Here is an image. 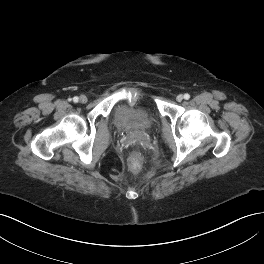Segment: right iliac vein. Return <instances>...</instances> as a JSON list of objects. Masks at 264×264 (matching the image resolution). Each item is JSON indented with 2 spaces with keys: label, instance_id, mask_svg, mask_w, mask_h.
I'll list each match as a JSON object with an SVG mask.
<instances>
[{
  "label": "right iliac vein",
  "instance_id": "obj_1",
  "mask_svg": "<svg viewBox=\"0 0 264 264\" xmlns=\"http://www.w3.org/2000/svg\"><path fill=\"white\" fill-rule=\"evenodd\" d=\"M87 97L85 95H81L79 98L80 103H86L87 102Z\"/></svg>",
  "mask_w": 264,
  "mask_h": 264
}]
</instances>
